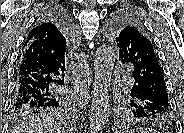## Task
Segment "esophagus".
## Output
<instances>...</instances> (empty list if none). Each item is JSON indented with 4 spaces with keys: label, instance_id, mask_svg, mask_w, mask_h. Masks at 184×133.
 Returning a JSON list of instances; mask_svg holds the SVG:
<instances>
[{
    "label": "esophagus",
    "instance_id": "obj_1",
    "mask_svg": "<svg viewBox=\"0 0 184 133\" xmlns=\"http://www.w3.org/2000/svg\"><path fill=\"white\" fill-rule=\"evenodd\" d=\"M83 75L88 83L92 81V71L89 69V67L86 64L83 69ZM87 103H88L87 100H85L83 105H86Z\"/></svg>",
    "mask_w": 184,
    "mask_h": 133
}]
</instances>
